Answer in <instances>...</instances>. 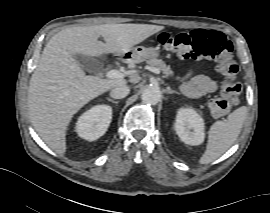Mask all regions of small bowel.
Segmentation results:
<instances>
[{
  "label": "small bowel",
  "mask_w": 270,
  "mask_h": 213,
  "mask_svg": "<svg viewBox=\"0 0 270 213\" xmlns=\"http://www.w3.org/2000/svg\"><path fill=\"white\" fill-rule=\"evenodd\" d=\"M181 81L182 92L190 98H199L216 90V84L210 77L193 75L192 71L182 77Z\"/></svg>",
  "instance_id": "small-bowel-1"
}]
</instances>
